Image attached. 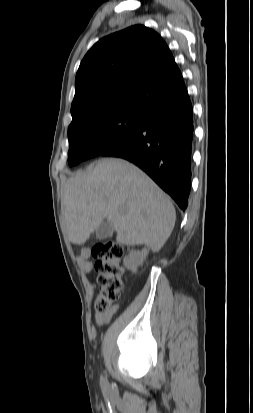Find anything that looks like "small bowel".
I'll return each instance as SVG.
<instances>
[{"label":"small bowel","instance_id":"c3829d8e","mask_svg":"<svg viewBox=\"0 0 253 413\" xmlns=\"http://www.w3.org/2000/svg\"><path fill=\"white\" fill-rule=\"evenodd\" d=\"M77 263L81 271L84 273H89L92 270V263L90 262V251L87 248H83L80 251L79 256L77 257ZM118 311V306L114 305L111 309L105 314H96L95 321L97 325H104L110 322L113 316Z\"/></svg>","mask_w":253,"mask_h":413}]
</instances>
